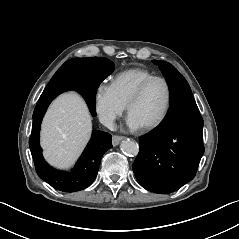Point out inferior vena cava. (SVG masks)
I'll return each mask as SVG.
<instances>
[{
    "label": "inferior vena cava",
    "mask_w": 239,
    "mask_h": 239,
    "mask_svg": "<svg viewBox=\"0 0 239 239\" xmlns=\"http://www.w3.org/2000/svg\"><path fill=\"white\" fill-rule=\"evenodd\" d=\"M102 124L111 131L117 130V125L114 122V117H102Z\"/></svg>",
    "instance_id": "1"
}]
</instances>
